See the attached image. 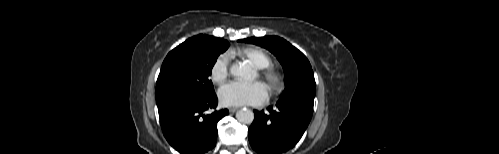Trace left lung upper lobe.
<instances>
[{"label":"left lung upper lobe","mask_w":499,"mask_h":154,"mask_svg":"<svg viewBox=\"0 0 499 154\" xmlns=\"http://www.w3.org/2000/svg\"><path fill=\"white\" fill-rule=\"evenodd\" d=\"M264 47L272 52L285 72V90L280 100L295 94L315 96L316 83L306 56L283 38L277 36L250 37L238 40Z\"/></svg>","instance_id":"left-lung-upper-lobe-1"}]
</instances>
